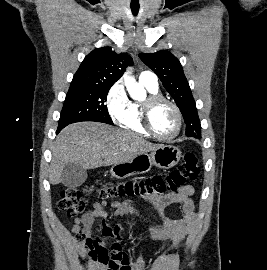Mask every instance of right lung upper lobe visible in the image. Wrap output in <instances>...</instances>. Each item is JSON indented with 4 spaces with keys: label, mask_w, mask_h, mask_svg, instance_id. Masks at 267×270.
I'll return each mask as SVG.
<instances>
[{
    "label": "right lung upper lobe",
    "mask_w": 267,
    "mask_h": 270,
    "mask_svg": "<svg viewBox=\"0 0 267 270\" xmlns=\"http://www.w3.org/2000/svg\"><path fill=\"white\" fill-rule=\"evenodd\" d=\"M131 56L117 54L110 47L90 52L75 73L71 85H113L132 65Z\"/></svg>",
    "instance_id": "cb5924a9"
}]
</instances>
